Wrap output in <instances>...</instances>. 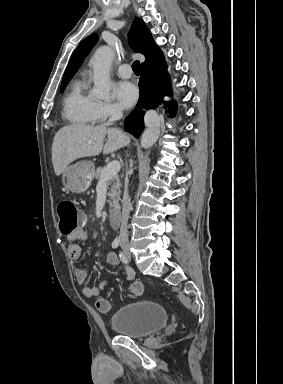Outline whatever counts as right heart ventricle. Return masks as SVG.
I'll return each instance as SVG.
<instances>
[{
    "label": "right heart ventricle",
    "mask_w": 283,
    "mask_h": 384,
    "mask_svg": "<svg viewBox=\"0 0 283 384\" xmlns=\"http://www.w3.org/2000/svg\"><path fill=\"white\" fill-rule=\"evenodd\" d=\"M85 88V78L80 74L70 81L65 91L62 114L71 125L90 127L99 121L98 101Z\"/></svg>",
    "instance_id": "1"
}]
</instances>
